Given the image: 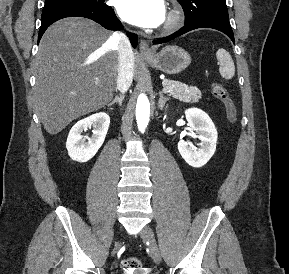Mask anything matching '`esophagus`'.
<instances>
[{
  "label": "esophagus",
  "instance_id": "1",
  "mask_svg": "<svg viewBox=\"0 0 289 274\" xmlns=\"http://www.w3.org/2000/svg\"><path fill=\"white\" fill-rule=\"evenodd\" d=\"M139 50L143 56H151L153 54L152 49L149 47L148 43L145 40L140 41Z\"/></svg>",
  "mask_w": 289,
  "mask_h": 274
}]
</instances>
